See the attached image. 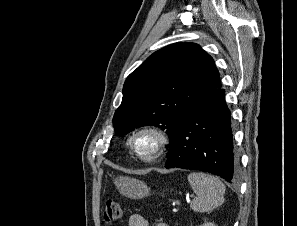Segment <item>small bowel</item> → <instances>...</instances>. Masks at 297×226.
Instances as JSON below:
<instances>
[{"label":"small bowel","mask_w":297,"mask_h":226,"mask_svg":"<svg viewBox=\"0 0 297 226\" xmlns=\"http://www.w3.org/2000/svg\"><path fill=\"white\" fill-rule=\"evenodd\" d=\"M128 226H149L148 221L140 214H132L128 220ZM155 226H167L165 223H157Z\"/></svg>","instance_id":"1"}]
</instances>
